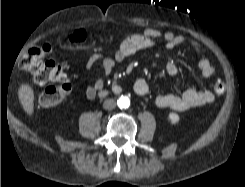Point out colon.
<instances>
[{
    "mask_svg": "<svg viewBox=\"0 0 245 187\" xmlns=\"http://www.w3.org/2000/svg\"><path fill=\"white\" fill-rule=\"evenodd\" d=\"M75 43L84 42L87 37L84 31H76L71 37ZM50 51L48 44L34 46L28 49L20 62V67L28 72L33 80L46 85L39 97L43 107H53L61 103L69 95L72 89L70 79L64 67L52 60L44 59ZM226 86L223 82H216L213 91L217 95L225 92Z\"/></svg>",
    "mask_w": 245,
    "mask_h": 187,
    "instance_id": "colon-1",
    "label": "colon"
}]
</instances>
